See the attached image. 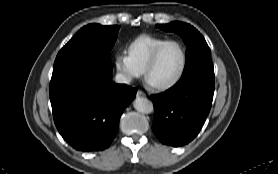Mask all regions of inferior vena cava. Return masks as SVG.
I'll return each mask as SVG.
<instances>
[{"mask_svg": "<svg viewBox=\"0 0 278 174\" xmlns=\"http://www.w3.org/2000/svg\"><path fill=\"white\" fill-rule=\"evenodd\" d=\"M130 80H131L130 76L125 75V74L118 73V74L115 76V81H116L117 83H129Z\"/></svg>", "mask_w": 278, "mask_h": 174, "instance_id": "obj_1", "label": "inferior vena cava"}]
</instances>
